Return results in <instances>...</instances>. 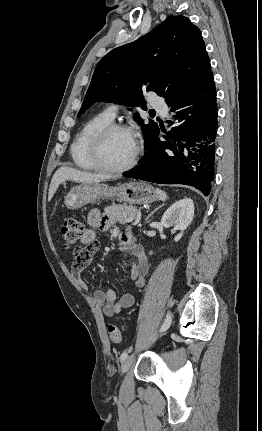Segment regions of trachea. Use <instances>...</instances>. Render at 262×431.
<instances>
[{"instance_id": "obj_1", "label": "trachea", "mask_w": 262, "mask_h": 431, "mask_svg": "<svg viewBox=\"0 0 262 431\" xmlns=\"http://www.w3.org/2000/svg\"><path fill=\"white\" fill-rule=\"evenodd\" d=\"M150 114H155V111H154V110H151V111H150Z\"/></svg>"}]
</instances>
